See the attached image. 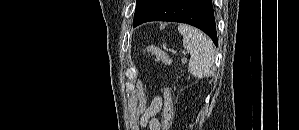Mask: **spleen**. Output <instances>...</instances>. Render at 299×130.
I'll use <instances>...</instances> for the list:
<instances>
[{"instance_id":"obj_1","label":"spleen","mask_w":299,"mask_h":130,"mask_svg":"<svg viewBox=\"0 0 299 130\" xmlns=\"http://www.w3.org/2000/svg\"><path fill=\"white\" fill-rule=\"evenodd\" d=\"M183 36V46L190 52L188 71L196 78H205L211 75L214 65L213 43L202 31L186 24L178 26Z\"/></svg>"}]
</instances>
